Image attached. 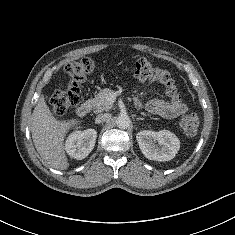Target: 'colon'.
<instances>
[{
    "label": "colon",
    "mask_w": 235,
    "mask_h": 235,
    "mask_svg": "<svg viewBox=\"0 0 235 235\" xmlns=\"http://www.w3.org/2000/svg\"><path fill=\"white\" fill-rule=\"evenodd\" d=\"M95 69V62L89 57H84L65 65V71L70 76L69 84L55 90L48 98L51 112L56 116L66 114L80 99L81 84ZM133 75L140 81L158 83L164 87L171 97L181 100L177 94L173 79L170 74L145 58L137 59L133 64ZM200 124L197 114L189 113L180 118V127L188 136L196 135Z\"/></svg>",
    "instance_id": "colon-1"
}]
</instances>
